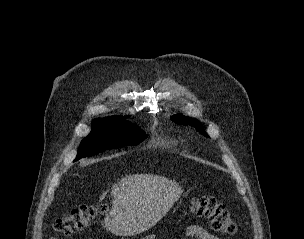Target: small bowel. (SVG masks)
<instances>
[{
  "label": "small bowel",
  "instance_id": "c3829d8e",
  "mask_svg": "<svg viewBox=\"0 0 304 239\" xmlns=\"http://www.w3.org/2000/svg\"><path fill=\"white\" fill-rule=\"evenodd\" d=\"M185 235L189 239H219L217 236L209 233L203 227L198 225L189 226L185 231ZM50 239H57V238L52 237Z\"/></svg>",
  "mask_w": 304,
  "mask_h": 239
}]
</instances>
